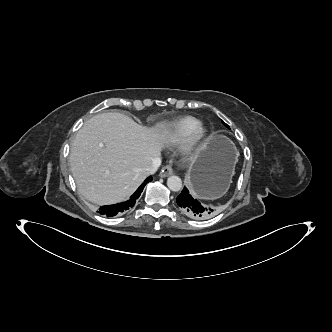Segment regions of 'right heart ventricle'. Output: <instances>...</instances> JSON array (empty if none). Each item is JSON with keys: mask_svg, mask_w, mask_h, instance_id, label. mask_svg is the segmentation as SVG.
I'll list each match as a JSON object with an SVG mask.
<instances>
[{"mask_svg": "<svg viewBox=\"0 0 332 332\" xmlns=\"http://www.w3.org/2000/svg\"><path fill=\"white\" fill-rule=\"evenodd\" d=\"M200 123L199 119L192 116L178 118L166 125L163 138L171 143L180 142Z\"/></svg>", "mask_w": 332, "mask_h": 332, "instance_id": "e07e8e85", "label": "right heart ventricle"}]
</instances>
